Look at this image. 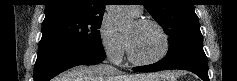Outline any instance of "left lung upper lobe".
I'll return each mask as SVG.
<instances>
[{
	"mask_svg": "<svg viewBox=\"0 0 237 81\" xmlns=\"http://www.w3.org/2000/svg\"><path fill=\"white\" fill-rule=\"evenodd\" d=\"M144 6L169 36V50L163 61L172 62L203 50V37L192 0H146Z\"/></svg>",
	"mask_w": 237,
	"mask_h": 81,
	"instance_id": "left-lung-upper-lobe-1",
	"label": "left lung upper lobe"
}]
</instances>
